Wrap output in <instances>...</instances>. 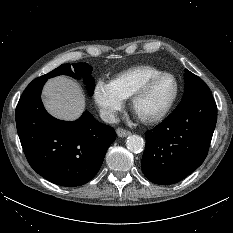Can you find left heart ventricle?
I'll return each mask as SVG.
<instances>
[{
	"label": "left heart ventricle",
	"instance_id": "b2bd125f",
	"mask_svg": "<svg viewBox=\"0 0 233 233\" xmlns=\"http://www.w3.org/2000/svg\"><path fill=\"white\" fill-rule=\"evenodd\" d=\"M174 93V82L165 77L157 81L142 97L136 106V111L141 116H153L161 112L170 101Z\"/></svg>",
	"mask_w": 233,
	"mask_h": 233
}]
</instances>
